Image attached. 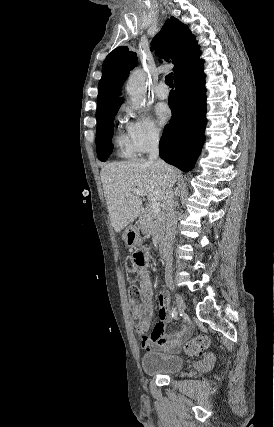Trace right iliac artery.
Returning a JSON list of instances; mask_svg holds the SVG:
<instances>
[{
  "label": "right iliac artery",
  "mask_w": 274,
  "mask_h": 427,
  "mask_svg": "<svg viewBox=\"0 0 274 427\" xmlns=\"http://www.w3.org/2000/svg\"><path fill=\"white\" fill-rule=\"evenodd\" d=\"M177 316H178V312H177L176 308H173L172 309V318L177 319Z\"/></svg>",
  "instance_id": "1"
}]
</instances>
